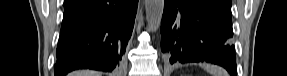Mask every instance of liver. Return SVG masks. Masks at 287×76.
<instances>
[{
	"mask_svg": "<svg viewBox=\"0 0 287 76\" xmlns=\"http://www.w3.org/2000/svg\"><path fill=\"white\" fill-rule=\"evenodd\" d=\"M72 76H101V73L96 71L83 70L73 72Z\"/></svg>",
	"mask_w": 287,
	"mask_h": 76,
	"instance_id": "liver-1",
	"label": "liver"
}]
</instances>
